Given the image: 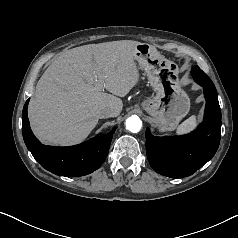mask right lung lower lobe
Returning a JSON list of instances; mask_svg holds the SVG:
<instances>
[{"instance_id":"98d812e1","label":"right lung lower lobe","mask_w":238,"mask_h":238,"mask_svg":"<svg viewBox=\"0 0 238 238\" xmlns=\"http://www.w3.org/2000/svg\"><path fill=\"white\" fill-rule=\"evenodd\" d=\"M28 102L29 99L22 112L23 138L27 148L42 167L59 176L79 177L101 166L108 155L115 127L101 138L94 137L76 146H46L41 144L31 131L27 117Z\"/></svg>"}]
</instances>
